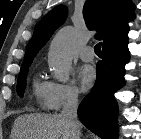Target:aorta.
<instances>
[{
	"label": "aorta",
	"instance_id": "762f6f07",
	"mask_svg": "<svg viewBox=\"0 0 141 139\" xmlns=\"http://www.w3.org/2000/svg\"><path fill=\"white\" fill-rule=\"evenodd\" d=\"M75 44V32L70 26L60 29L51 41L48 63L60 82L69 80Z\"/></svg>",
	"mask_w": 141,
	"mask_h": 139
}]
</instances>
